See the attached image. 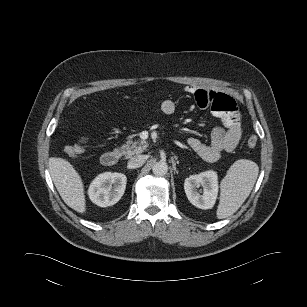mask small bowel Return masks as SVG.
Instances as JSON below:
<instances>
[{"label": "small bowel", "mask_w": 307, "mask_h": 307, "mask_svg": "<svg viewBox=\"0 0 307 307\" xmlns=\"http://www.w3.org/2000/svg\"><path fill=\"white\" fill-rule=\"evenodd\" d=\"M185 91L195 96L199 106L211 109L214 116L222 121V126L213 130L210 144L197 138L187 141L188 146L201 158L209 162L217 161L222 153L234 150L242 137V117L236 109V102L225 93L201 90L194 85L186 86ZM175 109L172 100L161 103V110L165 114H172Z\"/></svg>", "instance_id": "obj_1"}]
</instances>
